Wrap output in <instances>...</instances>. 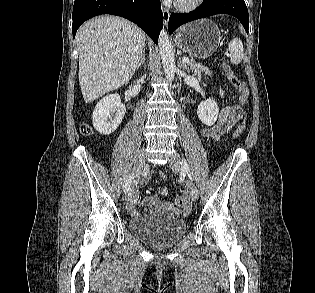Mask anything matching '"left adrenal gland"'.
<instances>
[{
  "instance_id": "a2214340",
  "label": "left adrenal gland",
  "mask_w": 315,
  "mask_h": 293,
  "mask_svg": "<svg viewBox=\"0 0 315 293\" xmlns=\"http://www.w3.org/2000/svg\"><path fill=\"white\" fill-rule=\"evenodd\" d=\"M179 65H180V67H181L182 69H184V70H186V71L189 72V68L187 67V65H186L185 63H183V62L181 61L180 58H179Z\"/></svg>"
}]
</instances>
